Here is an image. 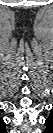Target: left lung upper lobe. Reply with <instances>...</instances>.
<instances>
[{"instance_id": "1", "label": "left lung upper lobe", "mask_w": 53, "mask_h": 133, "mask_svg": "<svg viewBox=\"0 0 53 133\" xmlns=\"http://www.w3.org/2000/svg\"><path fill=\"white\" fill-rule=\"evenodd\" d=\"M49 123H51V118L50 117L46 120V125H48Z\"/></svg>"}]
</instances>
